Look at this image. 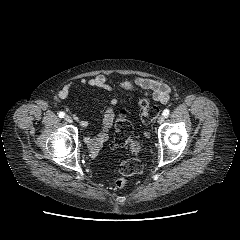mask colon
<instances>
[{
	"label": "colon",
	"instance_id": "1",
	"mask_svg": "<svg viewBox=\"0 0 240 240\" xmlns=\"http://www.w3.org/2000/svg\"><path fill=\"white\" fill-rule=\"evenodd\" d=\"M137 104L141 110V117L145 123L152 122L159 110L156 106H150L149 103L142 98L137 100ZM132 125L127 118L126 111L122 110L116 121V129L114 136V145L117 147H127L131 153L128 159L119 169L122 177L116 180V186L123 188L126 183V177L142 173L143 166L138 155L140 153V144L132 139Z\"/></svg>",
	"mask_w": 240,
	"mask_h": 240
}]
</instances>
